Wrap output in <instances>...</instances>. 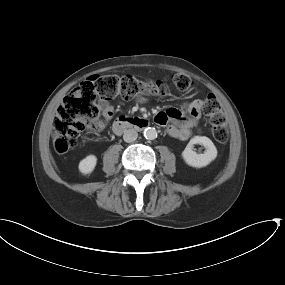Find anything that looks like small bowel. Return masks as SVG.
<instances>
[{
  "label": "small bowel",
  "instance_id": "1",
  "mask_svg": "<svg viewBox=\"0 0 285 285\" xmlns=\"http://www.w3.org/2000/svg\"><path fill=\"white\" fill-rule=\"evenodd\" d=\"M98 107L105 119L110 120L114 114V107L105 98L98 99ZM202 104L200 101H193L186 106L189 116L174 107L168 108L163 113L168 121L172 123L168 127V133L181 140H186L192 135V127L201 115Z\"/></svg>",
  "mask_w": 285,
  "mask_h": 285
}]
</instances>
